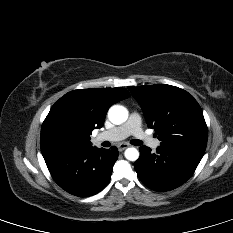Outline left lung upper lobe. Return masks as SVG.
<instances>
[{"instance_id": "5c2ea615", "label": "left lung upper lobe", "mask_w": 233, "mask_h": 233, "mask_svg": "<svg viewBox=\"0 0 233 233\" xmlns=\"http://www.w3.org/2000/svg\"><path fill=\"white\" fill-rule=\"evenodd\" d=\"M128 89L139 102L161 146L206 148L208 130L202 109L185 90L165 84Z\"/></svg>"}]
</instances>
